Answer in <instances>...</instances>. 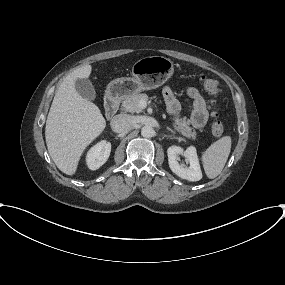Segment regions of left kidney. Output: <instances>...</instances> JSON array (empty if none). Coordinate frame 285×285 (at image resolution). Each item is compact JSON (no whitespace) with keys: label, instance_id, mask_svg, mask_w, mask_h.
Wrapping results in <instances>:
<instances>
[{"label":"left kidney","instance_id":"obj_1","mask_svg":"<svg viewBox=\"0 0 285 285\" xmlns=\"http://www.w3.org/2000/svg\"><path fill=\"white\" fill-rule=\"evenodd\" d=\"M167 155L169 167L177 176L193 182L201 180L202 172L195 147L190 146L184 150L179 146L173 145L167 149ZM180 155L185 157V160L189 163V167L179 164Z\"/></svg>","mask_w":285,"mask_h":285}]
</instances>
